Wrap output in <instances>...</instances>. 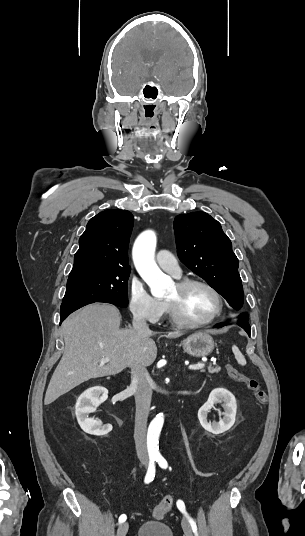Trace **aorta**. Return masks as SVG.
Returning a JSON list of instances; mask_svg holds the SVG:
<instances>
[{"mask_svg": "<svg viewBox=\"0 0 305 536\" xmlns=\"http://www.w3.org/2000/svg\"><path fill=\"white\" fill-rule=\"evenodd\" d=\"M156 243L157 239L153 231L147 230L141 233L134 243L132 256L136 270L150 287L152 295L163 297L172 286V281L155 262ZM163 423V414H158L153 419L151 426L161 429Z\"/></svg>", "mask_w": 305, "mask_h": 536, "instance_id": "762f6f07", "label": "aorta"}]
</instances>
